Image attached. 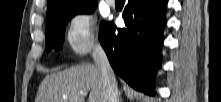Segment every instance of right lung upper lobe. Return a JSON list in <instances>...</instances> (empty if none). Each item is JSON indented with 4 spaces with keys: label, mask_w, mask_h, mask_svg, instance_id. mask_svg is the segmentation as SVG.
Listing matches in <instances>:
<instances>
[{
    "label": "right lung upper lobe",
    "mask_w": 221,
    "mask_h": 102,
    "mask_svg": "<svg viewBox=\"0 0 221 102\" xmlns=\"http://www.w3.org/2000/svg\"><path fill=\"white\" fill-rule=\"evenodd\" d=\"M91 2H96V0H49L47 7V20L59 11L72 7H80Z\"/></svg>",
    "instance_id": "right-lung-upper-lobe-1"
}]
</instances>
